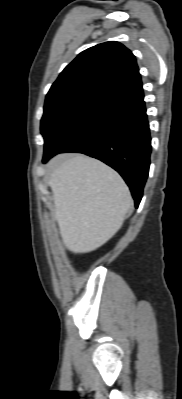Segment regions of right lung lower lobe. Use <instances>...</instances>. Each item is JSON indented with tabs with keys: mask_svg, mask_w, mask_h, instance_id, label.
Here are the masks:
<instances>
[{
	"mask_svg": "<svg viewBox=\"0 0 182 399\" xmlns=\"http://www.w3.org/2000/svg\"><path fill=\"white\" fill-rule=\"evenodd\" d=\"M61 152L83 153L114 168L129 186L137 208L151 153L142 87L107 99L68 127L44 151L43 162Z\"/></svg>",
	"mask_w": 182,
	"mask_h": 399,
	"instance_id": "98d812e1",
	"label": "right lung lower lobe"
}]
</instances>
